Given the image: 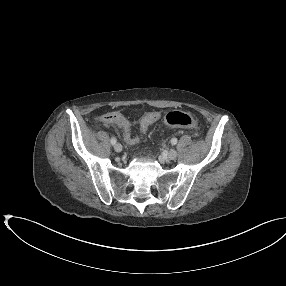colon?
<instances>
[{"instance_id":"colon-1","label":"colon","mask_w":286,"mask_h":286,"mask_svg":"<svg viewBox=\"0 0 286 286\" xmlns=\"http://www.w3.org/2000/svg\"><path fill=\"white\" fill-rule=\"evenodd\" d=\"M164 122L168 126L178 127V128H195L197 125L196 120L188 113L181 111H172L165 115ZM148 129V125L146 122L140 125V136L136 137V140H140L141 136Z\"/></svg>"}]
</instances>
